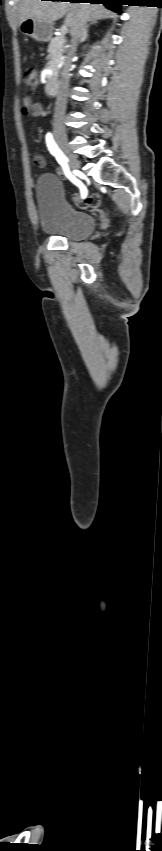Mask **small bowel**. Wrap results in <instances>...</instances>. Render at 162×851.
<instances>
[{
	"instance_id": "c3829d8e",
	"label": "small bowel",
	"mask_w": 162,
	"mask_h": 851,
	"mask_svg": "<svg viewBox=\"0 0 162 851\" xmlns=\"http://www.w3.org/2000/svg\"><path fill=\"white\" fill-rule=\"evenodd\" d=\"M22 106H23L24 112L30 111L31 114L35 117H45L46 114H47V111L42 104L36 103V102H34V101H32L31 99H28V98L23 100ZM33 160H34V164L38 168H44L46 166V160H45L44 156L41 155V154H36L34 156Z\"/></svg>"
}]
</instances>
